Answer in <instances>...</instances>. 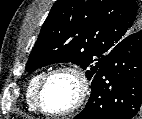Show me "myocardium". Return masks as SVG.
<instances>
[{"mask_svg":"<svg viewBox=\"0 0 142 119\" xmlns=\"http://www.w3.org/2000/svg\"><path fill=\"white\" fill-rule=\"evenodd\" d=\"M61 73L71 74L76 79L78 84V93L75 102L66 110L50 111L44 107L43 93L49 80L53 76ZM89 93H90V80L86 72L80 67L75 65H69V64L61 65L47 72L42 78L36 93V106L37 109L45 115L53 117H65L72 115L78 110H80L83 107V105L86 103Z\"/></svg>","mask_w":142,"mask_h":119,"instance_id":"1","label":"myocardium"}]
</instances>
